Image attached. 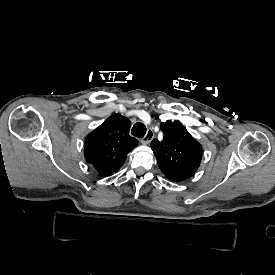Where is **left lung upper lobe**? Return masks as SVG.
<instances>
[{
	"label": "left lung upper lobe",
	"mask_w": 275,
	"mask_h": 275,
	"mask_svg": "<svg viewBox=\"0 0 275 275\" xmlns=\"http://www.w3.org/2000/svg\"><path fill=\"white\" fill-rule=\"evenodd\" d=\"M160 127L163 139L151 142L160 170L173 182L190 178L200 166L202 146L177 121L168 120Z\"/></svg>",
	"instance_id": "1"
}]
</instances>
